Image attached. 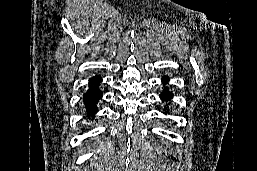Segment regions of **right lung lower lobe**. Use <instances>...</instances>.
<instances>
[{"label":"right lung lower lobe","instance_id":"obj_1","mask_svg":"<svg viewBox=\"0 0 257 171\" xmlns=\"http://www.w3.org/2000/svg\"><path fill=\"white\" fill-rule=\"evenodd\" d=\"M101 81L102 79L100 75L92 77L90 79V83L93 84V87L89 88L88 91L83 95V101L88 107L89 113H91L92 115H94L98 111L96 109V104L98 100L102 97V91L98 87V84Z\"/></svg>","mask_w":257,"mask_h":171}]
</instances>
